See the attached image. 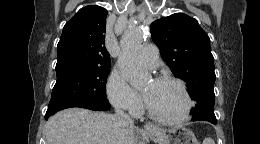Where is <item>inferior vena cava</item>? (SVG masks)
<instances>
[{"mask_svg":"<svg viewBox=\"0 0 260 144\" xmlns=\"http://www.w3.org/2000/svg\"><path fill=\"white\" fill-rule=\"evenodd\" d=\"M116 116L122 121L123 124L132 125L133 120L120 108L115 109Z\"/></svg>","mask_w":260,"mask_h":144,"instance_id":"602c4592","label":"inferior vena cava"}]
</instances>
